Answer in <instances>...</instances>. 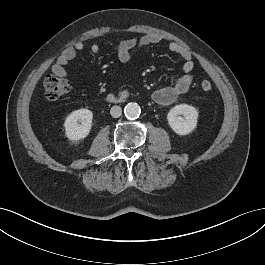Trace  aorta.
I'll use <instances>...</instances> for the list:
<instances>
[{"label": "aorta", "mask_w": 265, "mask_h": 265, "mask_svg": "<svg viewBox=\"0 0 265 265\" xmlns=\"http://www.w3.org/2000/svg\"><path fill=\"white\" fill-rule=\"evenodd\" d=\"M141 113L140 106L137 103H128L124 108V114L128 119H135Z\"/></svg>", "instance_id": "1"}]
</instances>
